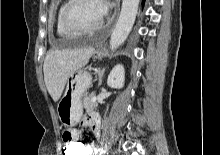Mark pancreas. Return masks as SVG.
<instances>
[{
    "mask_svg": "<svg viewBox=\"0 0 220 155\" xmlns=\"http://www.w3.org/2000/svg\"><path fill=\"white\" fill-rule=\"evenodd\" d=\"M92 98V94L86 95L83 98V106L87 112L93 111L98 106L97 102H92Z\"/></svg>",
    "mask_w": 220,
    "mask_h": 155,
    "instance_id": "pancreas-1",
    "label": "pancreas"
}]
</instances>
